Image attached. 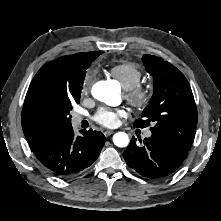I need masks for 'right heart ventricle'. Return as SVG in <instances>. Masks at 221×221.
Listing matches in <instances>:
<instances>
[{"label": "right heart ventricle", "mask_w": 221, "mask_h": 221, "mask_svg": "<svg viewBox=\"0 0 221 221\" xmlns=\"http://www.w3.org/2000/svg\"><path fill=\"white\" fill-rule=\"evenodd\" d=\"M110 74L117 79L124 90L131 89L140 84L142 72L134 64L124 62L112 66Z\"/></svg>", "instance_id": "right-heart-ventricle-1"}]
</instances>
